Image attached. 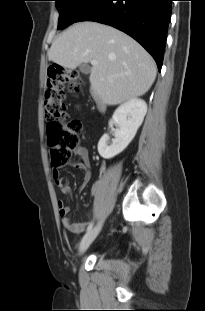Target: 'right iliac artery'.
Segmentation results:
<instances>
[{
	"label": "right iliac artery",
	"mask_w": 205,
	"mask_h": 311,
	"mask_svg": "<svg viewBox=\"0 0 205 311\" xmlns=\"http://www.w3.org/2000/svg\"><path fill=\"white\" fill-rule=\"evenodd\" d=\"M92 227H93V223H90L89 226L87 227L85 236L92 230Z\"/></svg>",
	"instance_id": "obj_1"
}]
</instances>
